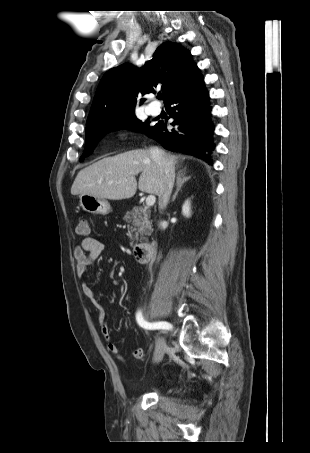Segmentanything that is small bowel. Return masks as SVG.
I'll list each match as a JSON object with an SVG mask.
<instances>
[{
  "instance_id": "obj_1",
  "label": "small bowel",
  "mask_w": 310,
  "mask_h": 453,
  "mask_svg": "<svg viewBox=\"0 0 310 453\" xmlns=\"http://www.w3.org/2000/svg\"><path fill=\"white\" fill-rule=\"evenodd\" d=\"M103 243L93 237H85L81 243L75 246L73 250L74 258L77 262V275L82 276L93 264V262L103 252ZM82 291L84 295L94 306L98 314V322L100 325L101 333L106 340L108 351L116 356L119 360L123 361V357L119 354L117 345L111 340L110 327L106 317L104 306L98 301L97 296L93 288L86 282L82 283ZM133 356L137 360H141L144 357V349H135Z\"/></svg>"
}]
</instances>
